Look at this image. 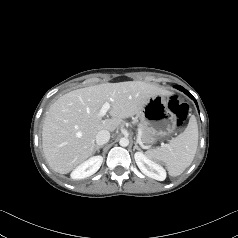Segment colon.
Here are the masks:
<instances>
[{"mask_svg": "<svg viewBox=\"0 0 238 238\" xmlns=\"http://www.w3.org/2000/svg\"><path fill=\"white\" fill-rule=\"evenodd\" d=\"M168 108L175 114L178 124H182L186 120L189 111L188 105L178 97H170Z\"/></svg>", "mask_w": 238, "mask_h": 238, "instance_id": "1", "label": "colon"}]
</instances>
